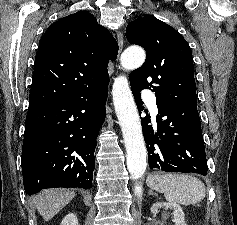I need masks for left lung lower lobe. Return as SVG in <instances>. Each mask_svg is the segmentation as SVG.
<instances>
[{"label":"left lung lower lobe","instance_id":"1","mask_svg":"<svg viewBox=\"0 0 237 225\" xmlns=\"http://www.w3.org/2000/svg\"><path fill=\"white\" fill-rule=\"evenodd\" d=\"M131 87L141 114L144 109L141 90ZM156 104L159 114L156 117L157 128L149 125L150 116L141 118L149 167L167 172L207 175V160L197 103L170 104L157 100Z\"/></svg>","mask_w":237,"mask_h":225}]
</instances>
